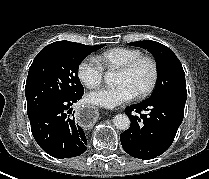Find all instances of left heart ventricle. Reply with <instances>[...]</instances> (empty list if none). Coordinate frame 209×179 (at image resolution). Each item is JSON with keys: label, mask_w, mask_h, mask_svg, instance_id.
Returning <instances> with one entry per match:
<instances>
[{"label": "left heart ventricle", "mask_w": 209, "mask_h": 179, "mask_svg": "<svg viewBox=\"0 0 209 179\" xmlns=\"http://www.w3.org/2000/svg\"><path fill=\"white\" fill-rule=\"evenodd\" d=\"M152 76V69L148 62L140 63L131 73L118 72L115 83L117 85L127 84L136 94L142 91L149 84Z\"/></svg>", "instance_id": "b2bd125f"}]
</instances>
